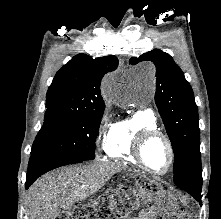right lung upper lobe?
<instances>
[{
	"label": "right lung upper lobe",
	"mask_w": 221,
	"mask_h": 219,
	"mask_svg": "<svg viewBox=\"0 0 221 219\" xmlns=\"http://www.w3.org/2000/svg\"><path fill=\"white\" fill-rule=\"evenodd\" d=\"M117 65L118 59L112 55L96 59L86 54L76 55L55 75L47 91L46 106L88 111L104 109L101 79Z\"/></svg>",
	"instance_id": "obj_1"
}]
</instances>
